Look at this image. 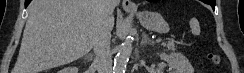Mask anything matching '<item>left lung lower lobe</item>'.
<instances>
[{"instance_id":"1","label":"left lung lower lobe","mask_w":244,"mask_h":73,"mask_svg":"<svg viewBox=\"0 0 244 73\" xmlns=\"http://www.w3.org/2000/svg\"><path fill=\"white\" fill-rule=\"evenodd\" d=\"M147 1H156V0H147ZM204 3L209 4L212 6L213 9H215V0H202Z\"/></svg>"}]
</instances>
